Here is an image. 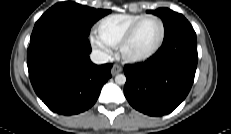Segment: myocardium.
Returning a JSON list of instances; mask_svg holds the SVG:
<instances>
[{
    "mask_svg": "<svg viewBox=\"0 0 231 134\" xmlns=\"http://www.w3.org/2000/svg\"><path fill=\"white\" fill-rule=\"evenodd\" d=\"M147 19H156L159 21L160 25H161V36L160 39L157 43V45L147 54L141 55V56H129L125 53V49L127 47V45L131 42V40L133 39L135 33L137 32L138 28L140 27V25ZM165 35H166V27H165V23L162 20V18H160L157 15L154 14H148V15H144L143 17H141L139 20H137L126 32V34L123 36V38L121 39L120 43L118 44V52L120 57L122 58L123 61L127 62V63H141V62H145L149 59H151L154 55L157 54V52L161 49L164 40H165Z\"/></svg>",
    "mask_w": 231,
    "mask_h": 134,
    "instance_id": "obj_1",
    "label": "myocardium"
}]
</instances>
